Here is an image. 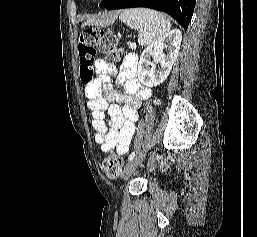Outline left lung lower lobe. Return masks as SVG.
<instances>
[{
    "label": "left lung lower lobe",
    "mask_w": 257,
    "mask_h": 237,
    "mask_svg": "<svg viewBox=\"0 0 257 237\" xmlns=\"http://www.w3.org/2000/svg\"><path fill=\"white\" fill-rule=\"evenodd\" d=\"M196 0H108L107 10L146 7L163 11L172 16L185 30L192 18Z\"/></svg>",
    "instance_id": "0a47b994"
}]
</instances>
